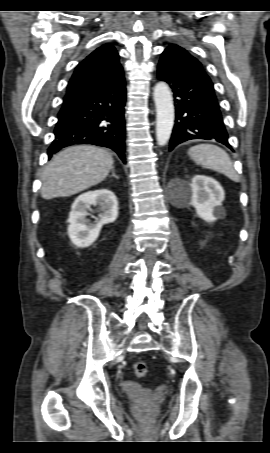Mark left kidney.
I'll return each mask as SVG.
<instances>
[{"mask_svg": "<svg viewBox=\"0 0 270 453\" xmlns=\"http://www.w3.org/2000/svg\"><path fill=\"white\" fill-rule=\"evenodd\" d=\"M179 193L183 202L192 205L197 215L207 222H214L225 215L222 207L224 190L220 183L211 177L196 175L189 186L180 187Z\"/></svg>", "mask_w": 270, "mask_h": 453, "instance_id": "obj_1", "label": "left kidney"}]
</instances>
